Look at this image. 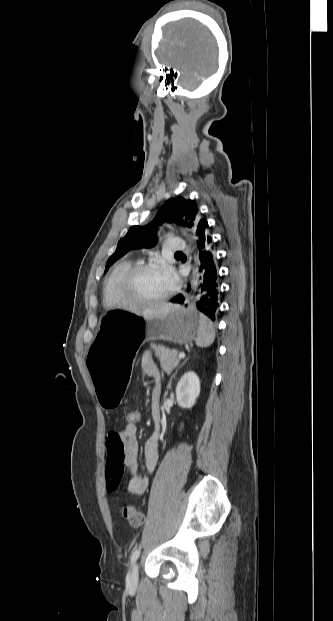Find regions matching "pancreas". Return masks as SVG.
Segmentation results:
<instances>
[{"instance_id":"obj_1","label":"pancreas","mask_w":333,"mask_h":621,"mask_svg":"<svg viewBox=\"0 0 333 621\" xmlns=\"http://www.w3.org/2000/svg\"><path fill=\"white\" fill-rule=\"evenodd\" d=\"M151 349L155 352V356L160 360L161 368L165 372H172L175 369L180 359L177 357L179 351L171 348H166L163 345H152Z\"/></svg>"}]
</instances>
